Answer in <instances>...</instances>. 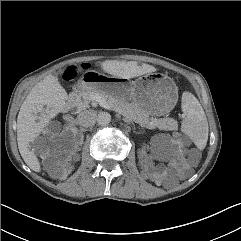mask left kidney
Listing matches in <instances>:
<instances>
[{"mask_svg": "<svg viewBox=\"0 0 241 241\" xmlns=\"http://www.w3.org/2000/svg\"><path fill=\"white\" fill-rule=\"evenodd\" d=\"M171 141H169L167 138L153 139L150 142L149 149L153 155H161V154L170 155L173 152L174 145H179V146L183 145L182 141L180 140L171 139Z\"/></svg>", "mask_w": 241, "mask_h": 241, "instance_id": "left-kidney-1", "label": "left kidney"}]
</instances>
